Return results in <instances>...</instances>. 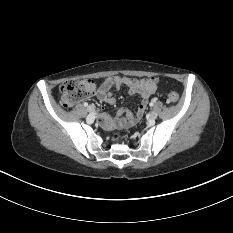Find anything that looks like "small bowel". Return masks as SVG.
I'll use <instances>...</instances> for the list:
<instances>
[{
  "mask_svg": "<svg viewBox=\"0 0 233 233\" xmlns=\"http://www.w3.org/2000/svg\"><path fill=\"white\" fill-rule=\"evenodd\" d=\"M158 82L159 79L156 77L137 79L126 76H112L106 78L102 82L97 97L99 100L113 105L116 102V99L112 94L111 89H120L122 86H126L130 95H139L141 97V102L138 105L136 112L131 113L120 109L118 111V116L121 117L125 115V122H135L142 117L149 97L157 93ZM99 122L107 129L113 128L116 125V122L107 113H100Z\"/></svg>",
  "mask_w": 233,
  "mask_h": 233,
  "instance_id": "obj_1",
  "label": "small bowel"
}]
</instances>
